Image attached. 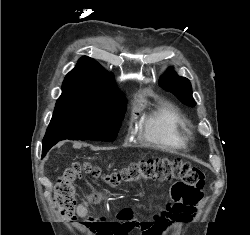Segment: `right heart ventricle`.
Segmentation results:
<instances>
[{"label":"right heart ventricle","instance_id":"e07e8e85","mask_svg":"<svg viewBox=\"0 0 250 235\" xmlns=\"http://www.w3.org/2000/svg\"><path fill=\"white\" fill-rule=\"evenodd\" d=\"M142 137L158 147L182 149L188 136L179 111L168 103H161L141 117Z\"/></svg>","mask_w":250,"mask_h":235}]
</instances>
